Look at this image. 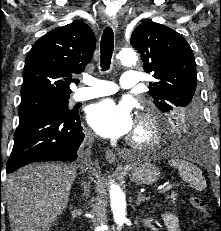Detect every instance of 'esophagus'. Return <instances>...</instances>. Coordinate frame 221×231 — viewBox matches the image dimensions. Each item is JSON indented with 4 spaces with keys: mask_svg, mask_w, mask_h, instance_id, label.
<instances>
[{
    "mask_svg": "<svg viewBox=\"0 0 221 231\" xmlns=\"http://www.w3.org/2000/svg\"><path fill=\"white\" fill-rule=\"evenodd\" d=\"M107 24L113 29L114 32L117 31V29H118V20L115 17H108ZM105 158L111 164H115L117 162V158H116L115 153L110 149L106 150Z\"/></svg>",
    "mask_w": 221,
    "mask_h": 231,
    "instance_id": "esophagus-1",
    "label": "esophagus"
}]
</instances>
